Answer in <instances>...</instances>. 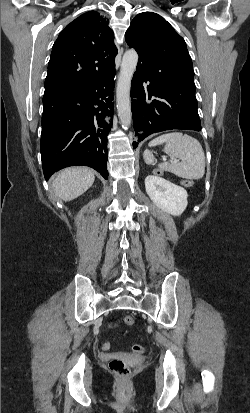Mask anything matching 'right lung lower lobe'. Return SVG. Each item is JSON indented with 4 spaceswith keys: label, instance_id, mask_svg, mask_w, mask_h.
Segmentation results:
<instances>
[{
    "label": "right lung lower lobe",
    "instance_id": "obj_1",
    "mask_svg": "<svg viewBox=\"0 0 250 413\" xmlns=\"http://www.w3.org/2000/svg\"><path fill=\"white\" fill-rule=\"evenodd\" d=\"M114 74L113 70L86 87L43 96L40 152L46 180L73 165L92 167L108 178Z\"/></svg>",
    "mask_w": 250,
    "mask_h": 413
}]
</instances>
